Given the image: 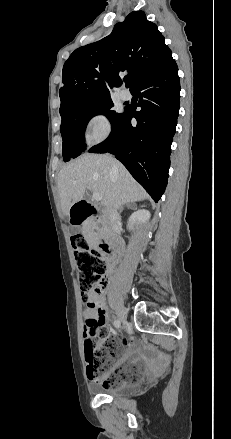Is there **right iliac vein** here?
Here are the masks:
<instances>
[{
  "label": "right iliac vein",
  "instance_id": "right-iliac-vein-1",
  "mask_svg": "<svg viewBox=\"0 0 231 439\" xmlns=\"http://www.w3.org/2000/svg\"><path fill=\"white\" fill-rule=\"evenodd\" d=\"M119 320L122 323L126 322V318H125V311L122 308H119Z\"/></svg>",
  "mask_w": 231,
  "mask_h": 439
}]
</instances>
